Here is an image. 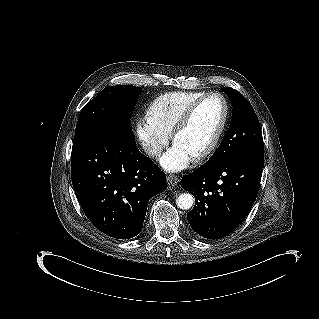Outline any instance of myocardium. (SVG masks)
Wrapping results in <instances>:
<instances>
[{
    "instance_id": "myocardium-1",
    "label": "myocardium",
    "mask_w": 319,
    "mask_h": 319,
    "mask_svg": "<svg viewBox=\"0 0 319 319\" xmlns=\"http://www.w3.org/2000/svg\"><path fill=\"white\" fill-rule=\"evenodd\" d=\"M211 98H218L222 104H223V113H222V117L219 123V126L216 130V132L214 133L212 139L210 140V142L200 151L194 152L193 157L198 160L201 158H204L205 156H207L217 145L222 132L224 130L226 121H227V116H228V104L227 101L225 99V97L219 93V92H211L208 94H205L204 96H202L200 99H198L196 102H194L185 112L184 114L181 116V118L178 120V122L176 123L173 131H172V139L174 141H177V136L180 132V130L185 126V124L188 122L191 114L193 113V111L195 110V108L200 105L202 102L211 99Z\"/></svg>"
}]
</instances>
